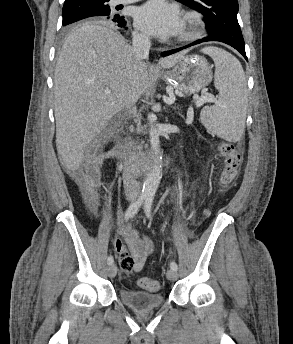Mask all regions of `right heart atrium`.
Returning a JSON list of instances; mask_svg holds the SVG:
<instances>
[{
	"label": "right heart atrium",
	"mask_w": 293,
	"mask_h": 344,
	"mask_svg": "<svg viewBox=\"0 0 293 344\" xmlns=\"http://www.w3.org/2000/svg\"><path fill=\"white\" fill-rule=\"evenodd\" d=\"M135 37H136L137 39H139V40H144V39H145V37H144L142 34H139V33H136V34H135Z\"/></svg>",
	"instance_id": "obj_1"
}]
</instances>
